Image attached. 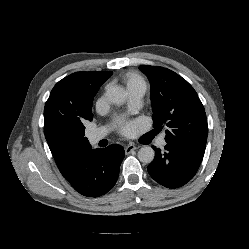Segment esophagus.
Masks as SVG:
<instances>
[{
	"instance_id": "esophagus-1",
	"label": "esophagus",
	"mask_w": 249,
	"mask_h": 249,
	"mask_svg": "<svg viewBox=\"0 0 249 249\" xmlns=\"http://www.w3.org/2000/svg\"><path fill=\"white\" fill-rule=\"evenodd\" d=\"M138 147L134 144H128L125 146V153L129 154L131 153L133 150H136Z\"/></svg>"
}]
</instances>
